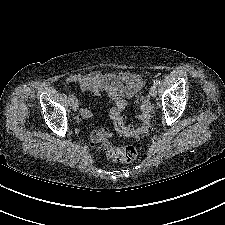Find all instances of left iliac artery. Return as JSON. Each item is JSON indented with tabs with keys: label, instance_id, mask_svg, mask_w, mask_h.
Instances as JSON below:
<instances>
[{
	"label": "left iliac artery",
	"instance_id": "left-iliac-artery-1",
	"mask_svg": "<svg viewBox=\"0 0 225 225\" xmlns=\"http://www.w3.org/2000/svg\"><path fill=\"white\" fill-rule=\"evenodd\" d=\"M160 85V80L159 79H155L154 80V86L158 87Z\"/></svg>",
	"mask_w": 225,
	"mask_h": 225
}]
</instances>
